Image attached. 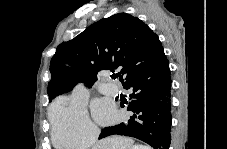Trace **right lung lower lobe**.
<instances>
[{
  "mask_svg": "<svg viewBox=\"0 0 227 149\" xmlns=\"http://www.w3.org/2000/svg\"><path fill=\"white\" fill-rule=\"evenodd\" d=\"M171 82L166 57L155 66L128 78L123 87L133 90L127 109L133 115L124 123L104 128L99 139L115 134L125 135L140 139L154 149H169Z\"/></svg>",
  "mask_w": 227,
  "mask_h": 149,
  "instance_id": "obj_1",
  "label": "right lung lower lobe"
}]
</instances>
